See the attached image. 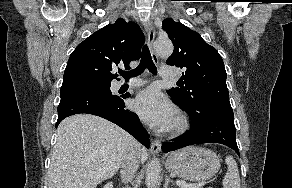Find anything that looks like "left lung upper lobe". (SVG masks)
I'll list each match as a JSON object with an SVG mask.
<instances>
[{"instance_id":"obj_1","label":"left lung upper lobe","mask_w":292,"mask_h":188,"mask_svg":"<svg viewBox=\"0 0 292 188\" xmlns=\"http://www.w3.org/2000/svg\"><path fill=\"white\" fill-rule=\"evenodd\" d=\"M174 45L166 63L183 68L179 87L167 90L174 103L184 109L192 123L201 122L211 111L232 109L226 85V71L218 51L199 33L167 18L162 22Z\"/></svg>"}]
</instances>
